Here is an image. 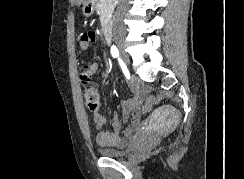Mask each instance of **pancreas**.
Masks as SVG:
<instances>
[{
	"label": "pancreas",
	"mask_w": 244,
	"mask_h": 179,
	"mask_svg": "<svg viewBox=\"0 0 244 179\" xmlns=\"http://www.w3.org/2000/svg\"><path fill=\"white\" fill-rule=\"evenodd\" d=\"M99 10L101 12L100 20H107L113 12L111 0H99Z\"/></svg>",
	"instance_id": "pancreas-1"
}]
</instances>
